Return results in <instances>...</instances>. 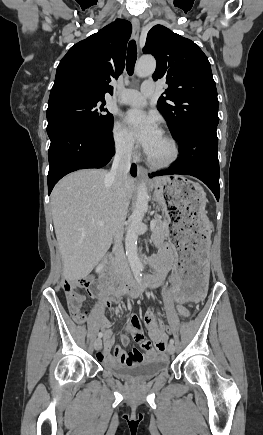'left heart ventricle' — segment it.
<instances>
[{"mask_svg": "<svg viewBox=\"0 0 263 435\" xmlns=\"http://www.w3.org/2000/svg\"><path fill=\"white\" fill-rule=\"evenodd\" d=\"M149 154L156 161H164L171 156L172 148L170 143L162 136Z\"/></svg>", "mask_w": 263, "mask_h": 435, "instance_id": "b2bd125f", "label": "left heart ventricle"}]
</instances>
